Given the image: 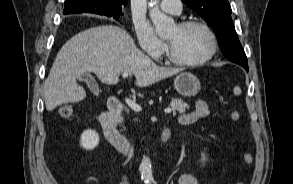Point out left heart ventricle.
Listing matches in <instances>:
<instances>
[{
  "mask_svg": "<svg viewBox=\"0 0 293 184\" xmlns=\"http://www.w3.org/2000/svg\"><path fill=\"white\" fill-rule=\"evenodd\" d=\"M174 54L183 60H197L210 49L208 34L200 27L173 28L166 38Z\"/></svg>",
  "mask_w": 293,
  "mask_h": 184,
  "instance_id": "b2bd125f",
  "label": "left heart ventricle"
}]
</instances>
